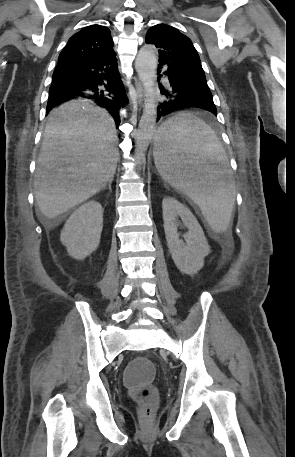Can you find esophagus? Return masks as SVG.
Instances as JSON below:
<instances>
[{"label":"esophagus","instance_id":"obj_1","mask_svg":"<svg viewBox=\"0 0 295 457\" xmlns=\"http://www.w3.org/2000/svg\"><path fill=\"white\" fill-rule=\"evenodd\" d=\"M136 95L138 102L141 103L143 100V88L140 82H136Z\"/></svg>","mask_w":295,"mask_h":457}]
</instances>
